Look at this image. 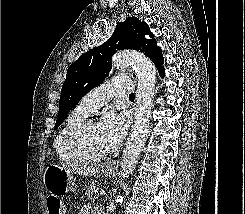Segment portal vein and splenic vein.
Wrapping results in <instances>:
<instances>
[{
    "label": "portal vein and splenic vein",
    "instance_id": "portal-vein-and-splenic-vein-1",
    "mask_svg": "<svg viewBox=\"0 0 245 214\" xmlns=\"http://www.w3.org/2000/svg\"><path fill=\"white\" fill-rule=\"evenodd\" d=\"M100 195H105V192L104 191H100Z\"/></svg>",
    "mask_w": 245,
    "mask_h": 214
}]
</instances>
